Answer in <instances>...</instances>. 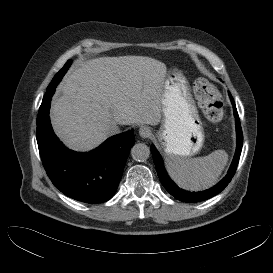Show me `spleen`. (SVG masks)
<instances>
[{
    "instance_id": "spleen-1",
    "label": "spleen",
    "mask_w": 273,
    "mask_h": 273,
    "mask_svg": "<svg viewBox=\"0 0 273 273\" xmlns=\"http://www.w3.org/2000/svg\"><path fill=\"white\" fill-rule=\"evenodd\" d=\"M228 161L225 150H215L204 157H166L170 177L183 189L198 191L213 186Z\"/></svg>"
}]
</instances>
